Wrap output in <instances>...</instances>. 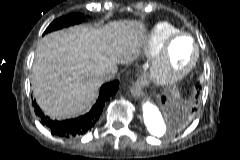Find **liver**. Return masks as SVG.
<instances>
[{"label": "liver", "instance_id": "6515ba94", "mask_svg": "<svg viewBox=\"0 0 240 160\" xmlns=\"http://www.w3.org/2000/svg\"><path fill=\"white\" fill-rule=\"evenodd\" d=\"M144 25L114 21L102 27L76 25L47 34L37 44L32 88L52 118H72L94 100L102 73L130 63L141 45Z\"/></svg>", "mask_w": 240, "mask_h": 160}]
</instances>
